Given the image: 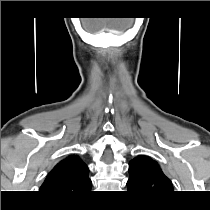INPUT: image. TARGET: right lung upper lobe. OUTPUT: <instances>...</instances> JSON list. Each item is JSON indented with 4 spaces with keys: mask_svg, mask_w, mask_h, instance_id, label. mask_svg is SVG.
Segmentation results:
<instances>
[{
    "mask_svg": "<svg viewBox=\"0 0 210 210\" xmlns=\"http://www.w3.org/2000/svg\"><path fill=\"white\" fill-rule=\"evenodd\" d=\"M88 171L77 155H71L50 171L40 192L57 200L81 199L92 186Z\"/></svg>",
    "mask_w": 210,
    "mask_h": 210,
    "instance_id": "1",
    "label": "right lung upper lobe"
}]
</instances>
